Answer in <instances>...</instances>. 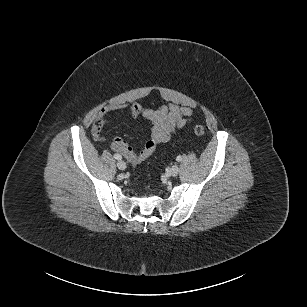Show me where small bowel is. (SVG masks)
<instances>
[{"instance_id":"1","label":"small bowel","mask_w":307,"mask_h":307,"mask_svg":"<svg viewBox=\"0 0 307 307\" xmlns=\"http://www.w3.org/2000/svg\"><path fill=\"white\" fill-rule=\"evenodd\" d=\"M127 109L126 104L108 105L101 108L92 125L93 138L98 142H104L102 134L107 117L113 112H122ZM129 114L136 118L144 117L150 122V137L139 152H134L125 142L121 153L131 164H139L150 157L160 143L167 142L179 129L191 122L193 111L188 107L175 104L161 106L160 108L144 109L135 103L129 107Z\"/></svg>"}]
</instances>
